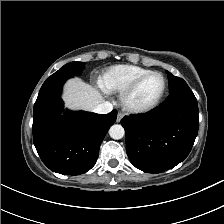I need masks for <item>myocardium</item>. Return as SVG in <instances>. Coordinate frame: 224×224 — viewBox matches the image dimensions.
Wrapping results in <instances>:
<instances>
[{
    "mask_svg": "<svg viewBox=\"0 0 224 224\" xmlns=\"http://www.w3.org/2000/svg\"><path fill=\"white\" fill-rule=\"evenodd\" d=\"M152 75H160L163 78L164 86H163L161 93L158 95V97L153 102H151L147 105H134L133 103H131V98L134 95V93L136 92V90L148 77H150ZM167 87H168V81L163 73H161L159 71L148 72L146 74L141 75L137 79H135L121 93V96H120L121 105L126 111H128L130 113L142 114V113L149 112L159 105V103L161 102V100L163 99V97L167 91Z\"/></svg>",
    "mask_w": 224,
    "mask_h": 224,
    "instance_id": "obj_1",
    "label": "myocardium"
}]
</instances>
